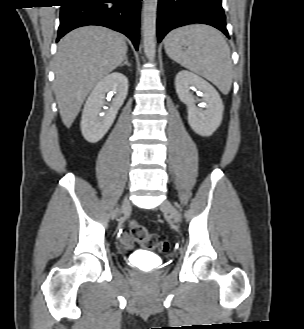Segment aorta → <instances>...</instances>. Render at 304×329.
Instances as JSON below:
<instances>
[{
	"mask_svg": "<svg viewBox=\"0 0 304 329\" xmlns=\"http://www.w3.org/2000/svg\"><path fill=\"white\" fill-rule=\"evenodd\" d=\"M142 33L143 48L148 60L153 61L156 54V17L158 0H143Z\"/></svg>",
	"mask_w": 304,
	"mask_h": 329,
	"instance_id": "762f6f07",
	"label": "aorta"
}]
</instances>
